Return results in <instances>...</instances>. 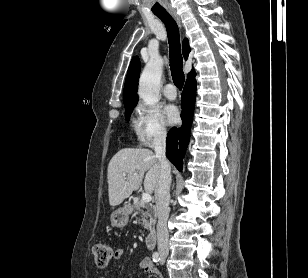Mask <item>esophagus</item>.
Here are the masks:
<instances>
[{
    "instance_id": "obj_1",
    "label": "esophagus",
    "mask_w": 308,
    "mask_h": 278,
    "mask_svg": "<svg viewBox=\"0 0 308 278\" xmlns=\"http://www.w3.org/2000/svg\"><path fill=\"white\" fill-rule=\"evenodd\" d=\"M170 15L174 18V20L177 22L178 26L181 28V21H180V17L178 16V14L176 13L175 10H169Z\"/></svg>"
}]
</instances>
